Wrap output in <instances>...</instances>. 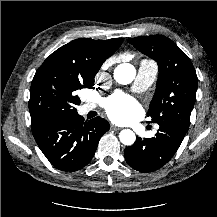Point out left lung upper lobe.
<instances>
[{
  "label": "left lung upper lobe",
  "instance_id": "5c2ea615",
  "mask_svg": "<svg viewBox=\"0 0 217 217\" xmlns=\"http://www.w3.org/2000/svg\"><path fill=\"white\" fill-rule=\"evenodd\" d=\"M128 41L154 59L159 67L155 94L148 110L150 122L159 125L171 122L188 130L198 83L191 60L165 36H143Z\"/></svg>",
  "mask_w": 217,
  "mask_h": 217
}]
</instances>
